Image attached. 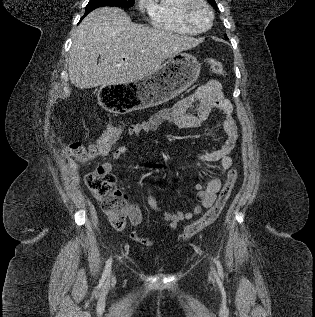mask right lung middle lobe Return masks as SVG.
I'll list each match as a JSON object with an SVG mask.
<instances>
[{
	"mask_svg": "<svg viewBox=\"0 0 315 317\" xmlns=\"http://www.w3.org/2000/svg\"><path fill=\"white\" fill-rule=\"evenodd\" d=\"M134 0H90L86 6L85 15L90 13L92 10L103 7V6H118L130 8L133 6Z\"/></svg>",
	"mask_w": 315,
	"mask_h": 317,
	"instance_id": "right-lung-middle-lobe-1",
	"label": "right lung middle lobe"
}]
</instances>
